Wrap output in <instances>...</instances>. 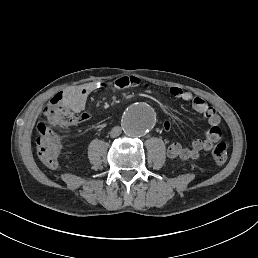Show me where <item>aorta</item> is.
<instances>
[{"instance_id": "762f6f07", "label": "aorta", "mask_w": 258, "mask_h": 258, "mask_svg": "<svg viewBox=\"0 0 258 258\" xmlns=\"http://www.w3.org/2000/svg\"><path fill=\"white\" fill-rule=\"evenodd\" d=\"M155 122L152 108L145 103H137L124 113L122 127L127 136L141 137L155 125Z\"/></svg>"}]
</instances>
